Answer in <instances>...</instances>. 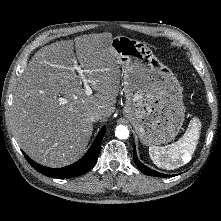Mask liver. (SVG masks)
<instances>
[{
  "label": "liver",
  "instance_id": "obj_1",
  "mask_svg": "<svg viewBox=\"0 0 221 221\" xmlns=\"http://www.w3.org/2000/svg\"><path fill=\"white\" fill-rule=\"evenodd\" d=\"M111 33L62 40L38 50L21 74L13 97L11 126L25 153L48 167L77 161L93 131L90 112L109 117L120 89V70L110 46ZM75 45L76 58H73ZM80 63L88 83L97 92L87 96L73 69ZM67 103L58 101L60 96Z\"/></svg>",
  "mask_w": 221,
  "mask_h": 221
}]
</instances>
